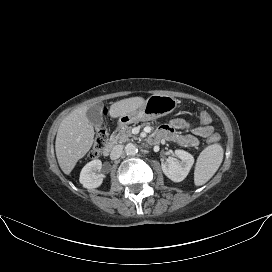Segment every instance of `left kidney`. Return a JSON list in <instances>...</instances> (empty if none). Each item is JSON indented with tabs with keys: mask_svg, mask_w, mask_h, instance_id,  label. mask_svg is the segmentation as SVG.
Masks as SVG:
<instances>
[{
	"mask_svg": "<svg viewBox=\"0 0 272 272\" xmlns=\"http://www.w3.org/2000/svg\"><path fill=\"white\" fill-rule=\"evenodd\" d=\"M175 156L178 159L169 157L165 163H162L163 173L173 182H181L188 175L191 167L194 164V157L184 151V150H175Z\"/></svg>",
	"mask_w": 272,
	"mask_h": 272,
	"instance_id": "obj_1",
	"label": "left kidney"
}]
</instances>
